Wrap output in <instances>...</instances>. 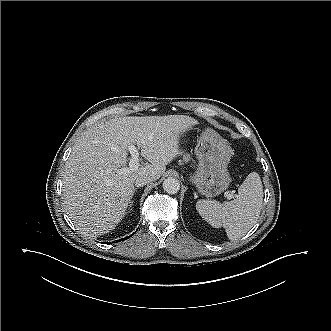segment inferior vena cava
<instances>
[{"label":"inferior vena cava","instance_id":"602c4592","mask_svg":"<svg viewBox=\"0 0 331 331\" xmlns=\"http://www.w3.org/2000/svg\"><path fill=\"white\" fill-rule=\"evenodd\" d=\"M154 180V177L149 175H142L136 178L135 180V186L142 187L146 185L147 183H150Z\"/></svg>","mask_w":331,"mask_h":331}]
</instances>
